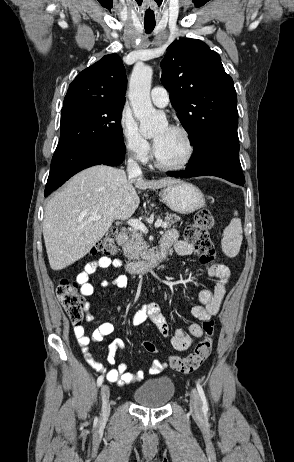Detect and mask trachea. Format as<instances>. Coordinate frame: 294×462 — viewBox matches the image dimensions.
I'll list each match as a JSON object with an SVG mask.
<instances>
[{
  "label": "trachea",
  "mask_w": 294,
  "mask_h": 462,
  "mask_svg": "<svg viewBox=\"0 0 294 462\" xmlns=\"http://www.w3.org/2000/svg\"><path fill=\"white\" fill-rule=\"evenodd\" d=\"M144 28L147 33H151L153 29L155 28V23L153 22H145L144 23Z\"/></svg>",
  "instance_id": "3493384b"
}]
</instances>
